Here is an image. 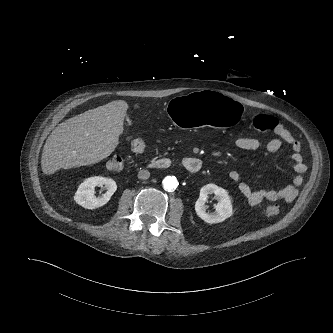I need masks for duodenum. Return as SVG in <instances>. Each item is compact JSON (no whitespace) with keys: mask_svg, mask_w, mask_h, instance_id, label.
I'll list each match as a JSON object with an SVG mask.
<instances>
[{"mask_svg":"<svg viewBox=\"0 0 333 333\" xmlns=\"http://www.w3.org/2000/svg\"><path fill=\"white\" fill-rule=\"evenodd\" d=\"M180 163L189 173H198L202 168V161L197 157H185ZM149 166L152 169H168L171 161L167 158L156 159L151 161Z\"/></svg>","mask_w":333,"mask_h":333,"instance_id":"410a0bca","label":"duodenum"}]
</instances>
